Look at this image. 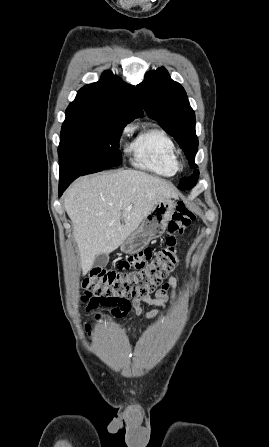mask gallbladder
Wrapping results in <instances>:
<instances>
[{
  "label": "gallbladder",
  "mask_w": 269,
  "mask_h": 447,
  "mask_svg": "<svg viewBox=\"0 0 269 447\" xmlns=\"http://www.w3.org/2000/svg\"><path fill=\"white\" fill-rule=\"evenodd\" d=\"M109 261L107 253H102V255H97L94 261V267H105Z\"/></svg>",
  "instance_id": "gallbladder-1"
}]
</instances>
